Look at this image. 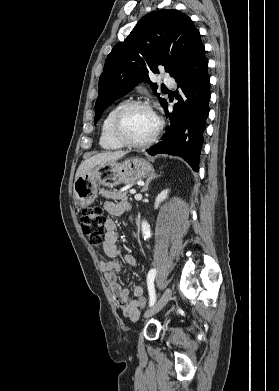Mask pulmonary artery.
Instances as JSON below:
<instances>
[{"instance_id": "obj_1", "label": "pulmonary artery", "mask_w": 279, "mask_h": 391, "mask_svg": "<svg viewBox=\"0 0 279 391\" xmlns=\"http://www.w3.org/2000/svg\"><path fill=\"white\" fill-rule=\"evenodd\" d=\"M164 83L167 84V85H174L175 81L171 77L166 76V77H164Z\"/></svg>"}]
</instances>
